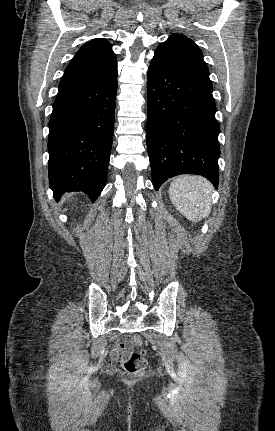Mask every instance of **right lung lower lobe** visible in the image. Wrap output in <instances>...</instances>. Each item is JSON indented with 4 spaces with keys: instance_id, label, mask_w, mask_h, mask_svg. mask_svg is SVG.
I'll return each mask as SVG.
<instances>
[{
    "instance_id": "1",
    "label": "right lung lower lobe",
    "mask_w": 275,
    "mask_h": 431,
    "mask_svg": "<svg viewBox=\"0 0 275 431\" xmlns=\"http://www.w3.org/2000/svg\"><path fill=\"white\" fill-rule=\"evenodd\" d=\"M117 69L98 81L59 89L49 121V185L55 199L82 191L94 202L107 179Z\"/></svg>"
}]
</instances>
